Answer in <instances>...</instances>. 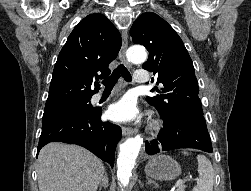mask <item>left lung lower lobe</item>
<instances>
[{"instance_id":"0a47b994","label":"left lung lower lobe","mask_w":251,"mask_h":191,"mask_svg":"<svg viewBox=\"0 0 251 191\" xmlns=\"http://www.w3.org/2000/svg\"><path fill=\"white\" fill-rule=\"evenodd\" d=\"M193 148L212 153L211 139L203 113L185 111L179 113L158 134L157 140L146 142L145 150L149 155L160 151Z\"/></svg>"}]
</instances>
